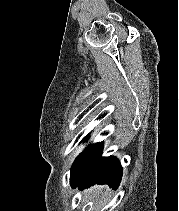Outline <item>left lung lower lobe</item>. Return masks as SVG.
Listing matches in <instances>:
<instances>
[{
    "mask_svg": "<svg viewBox=\"0 0 179 211\" xmlns=\"http://www.w3.org/2000/svg\"><path fill=\"white\" fill-rule=\"evenodd\" d=\"M88 136L85 140H87ZM103 143L85 149L71 168L70 184L81 189L94 184H108L117 189L122 178V166L116 157H102Z\"/></svg>",
    "mask_w": 179,
    "mask_h": 211,
    "instance_id": "left-lung-lower-lobe-1",
    "label": "left lung lower lobe"
}]
</instances>
